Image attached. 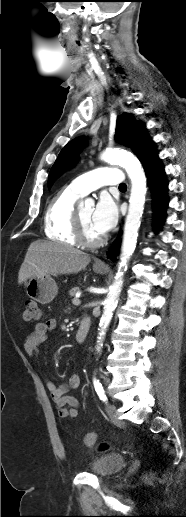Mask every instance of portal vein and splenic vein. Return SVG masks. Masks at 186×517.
Returning <instances> with one entry per match:
<instances>
[{
  "mask_svg": "<svg viewBox=\"0 0 186 517\" xmlns=\"http://www.w3.org/2000/svg\"><path fill=\"white\" fill-rule=\"evenodd\" d=\"M72 303H73L74 305H79L81 302H80V300H79V299L74 298V299L72 300Z\"/></svg>",
  "mask_w": 186,
  "mask_h": 517,
  "instance_id": "portal-vein-and-splenic-vein-1",
  "label": "portal vein and splenic vein"
}]
</instances>
